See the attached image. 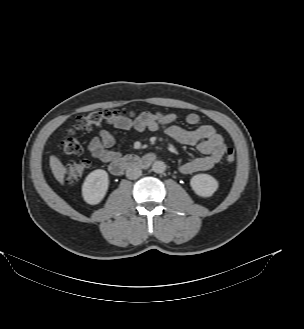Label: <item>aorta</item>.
<instances>
[{"instance_id":"obj_1","label":"aorta","mask_w":304,"mask_h":329,"mask_svg":"<svg viewBox=\"0 0 304 329\" xmlns=\"http://www.w3.org/2000/svg\"><path fill=\"white\" fill-rule=\"evenodd\" d=\"M166 169V165L163 161H155L152 165V170L155 172V173H163Z\"/></svg>"}]
</instances>
